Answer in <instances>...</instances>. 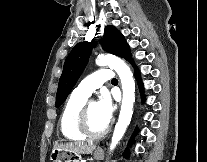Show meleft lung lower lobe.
Returning a JSON list of instances; mask_svg holds the SVG:
<instances>
[{"mask_svg": "<svg viewBox=\"0 0 207 162\" xmlns=\"http://www.w3.org/2000/svg\"><path fill=\"white\" fill-rule=\"evenodd\" d=\"M130 63H131V64L134 66V68H135V76H136V79H137V82H138V85H139L140 92H141V94H142V92H143V88H142L141 80H140V78H139V72H138L137 68L135 67V65H134V63H133V60H131ZM136 132H137V130H136Z\"/></svg>", "mask_w": 207, "mask_h": 162, "instance_id": "left-lung-lower-lobe-1", "label": "left lung lower lobe"}]
</instances>
